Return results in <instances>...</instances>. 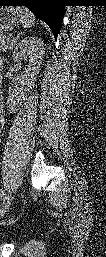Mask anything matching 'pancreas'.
I'll return each mask as SVG.
<instances>
[{
    "label": "pancreas",
    "mask_w": 106,
    "mask_h": 257,
    "mask_svg": "<svg viewBox=\"0 0 106 257\" xmlns=\"http://www.w3.org/2000/svg\"><path fill=\"white\" fill-rule=\"evenodd\" d=\"M16 39L11 36L1 35L0 37V51L7 52L8 50L12 49Z\"/></svg>",
    "instance_id": "1"
}]
</instances>
